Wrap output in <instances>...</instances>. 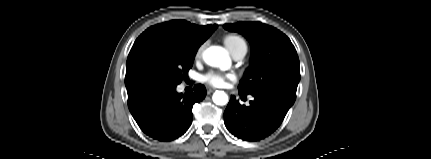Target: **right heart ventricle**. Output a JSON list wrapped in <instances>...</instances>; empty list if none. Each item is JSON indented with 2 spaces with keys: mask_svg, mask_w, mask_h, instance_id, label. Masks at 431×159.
<instances>
[{
  "mask_svg": "<svg viewBox=\"0 0 431 159\" xmlns=\"http://www.w3.org/2000/svg\"><path fill=\"white\" fill-rule=\"evenodd\" d=\"M224 43L231 52V54L240 47H246L244 39L238 35H227L224 38Z\"/></svg>",
  "mask_w": 431,
  "mask_h": 159,
  "instance_id": "1",
  "label": "right heart ventricle"
}]
</instances>
